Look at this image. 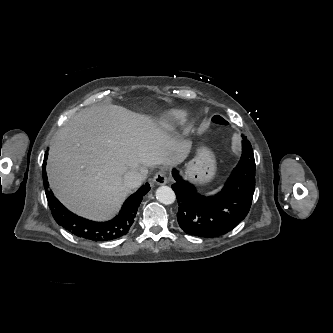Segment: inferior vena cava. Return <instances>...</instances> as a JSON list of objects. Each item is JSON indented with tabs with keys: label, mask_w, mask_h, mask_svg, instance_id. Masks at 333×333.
I'll use <instances>...</instances> for the list:
<instances>
[{
	"label": "inferior vena cava",
	"mask_w": 333,
	"mask_h": 333,
	"mask_svg": "<svg viewBox=\"0 0 333 333\" xmlns=\"http://www.w3.org/2000/svg\"><path fill=\"white\" fill-rule=\"evenodd\" d=\"M143 179H144L143 174L138 170L133 169L125 173L123 180L125 186L132 189L139 187Z\"/></svg>",
	"instance_id": "1"
}]
</instances>
